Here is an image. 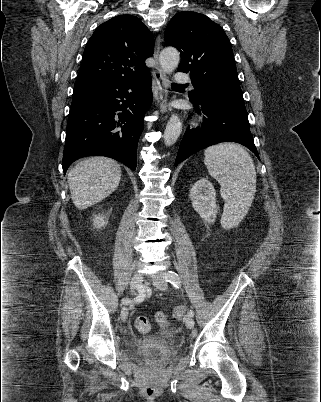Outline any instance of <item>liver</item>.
<instances>
[{"label":"liver","mask_w":321,"mask_h":402,"mask_svg":"<svg viewBox=\"0 0 321 402\" xmlns=\"http://www.w3.org/2000/svg\"><path fill=\"white\" fill-rule=\"evenodd\" d=\"M121 179L119 164L106 157L77 163L68 174L71 198L78 209H86L116 190Z\"/></svg>","instance_id":"6515ba94"}]
</instances>
